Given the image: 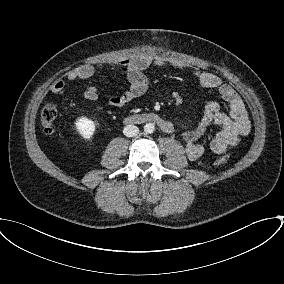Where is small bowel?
Returning a JSON list of instances; mask_svg holds the SVG:
<instances>
[{
  "label": "small bowel",
  "instance_id": "1",
  "mask_svg": "<svg viewBox=\"0 0 284 284\" xmlns=\"http://www.w3.org/2000/svg\"><path fill=\"white\" fill-rule=\"evenodd\" d=\"M112 66L125 76L128 87L121 95L109 97L107 102L111 106L122 107L146 93L149 86V80L145 75L146 70L151 67L165 68L176 66V64L166 57L141 54L131 59L115 62ZM94 73L95 68L92 65L83 64L71 70L66 75V80L70 82L87 79ZM193 74L203 87L217 90L228 104L229 109L225 113L219 103L208 102L197 127L182 132L185 153L190 160L201 158L205 149L200 140L208 129L214 126L218 132L211 140L210 148L216 154H225L250 132L251 124L246 106L240 95L218 75L199 69H195ZM65 85L64 80H57L51 86V91L56 95L62 94ZM84 98L89 102L96 101L98 99L96 86L89 85L84 92Z\"/></svg>",
  "mask_w": 284,
  "mask_h": 284
}]
</instances>
